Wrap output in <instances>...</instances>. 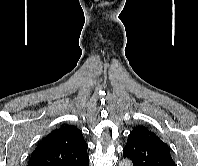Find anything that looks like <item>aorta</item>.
<instances>
[{
	"mask_svg": "<svg viewBox=\"0 0 198 166\" xmlns=\"http://www.w3.org/2000/svg\"><path fill=\"white\" fill-rule=\"evenodd\" d=\"M119 166H133L132 161L129 159H123L120 161Z\"/></svg>",
	"mask_w": 198,
	"mask_h": 166,
	"instance_id": "obj_1",
	"label": "aorta"
}]
</instances>
